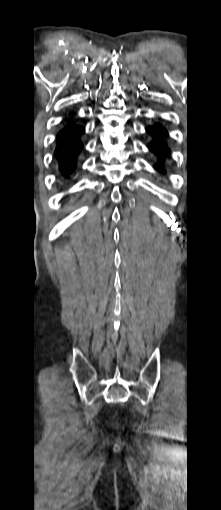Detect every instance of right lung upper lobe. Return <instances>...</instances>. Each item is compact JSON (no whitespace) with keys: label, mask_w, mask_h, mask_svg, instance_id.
Instances as JSON below:
<instances>
[{"label":"right lung upper lobe","mask_w":221,"mask_h":510,"mask_svg":"<svg viewBox=\"0 0 221 510\" xmlns=\"http://www.w3.org/2000/svg\"><path fill=\"white\" fill-rule=\"evenodd\" d=\"M71 126H73V124H70V125L66 126L64 129H67V128L71 127Z\"/></svg>","instance_id":"cb5924a9"}]
</instances>
